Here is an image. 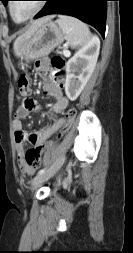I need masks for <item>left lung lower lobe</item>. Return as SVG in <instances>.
<instances>
[{
  "mask_svg": "<svg viewBox=\"0 0 133 253\" xmlns=\"http://www.w3.org/2000/svg\"><path fill=\"white\" fill-rule=\"evenodd\" d=\"M47 1L35 19L49 14H65L92 25L104 38L109 0H44Z\"/></svg>",
  "mask_w": 133,
  "mask_h": 253,
  "instance_id": "0a47b994",
  "label": "left lung lower lobe"
}]
</instances>
